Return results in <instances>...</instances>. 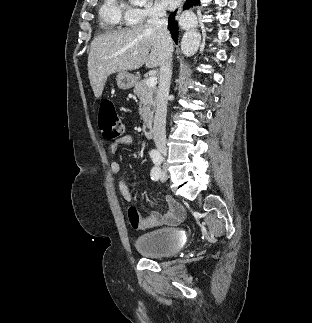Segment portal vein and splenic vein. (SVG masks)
<instances>
[{"label":"portal vein and splenic vein","mask_w":312,"mask_h":323,"mask_svg":"<svg viewBox=\"0 0 312 323\" xmlns=\"http://www.w3.org/2000/svg\"><path fill=\"white\" fill-rule=\"evenodd\" d=\"M135 56V54H134ZM147 86H149V88H155L156 84H157V78H155V76H151V78H149V80H147L146 82Z\"/></svg>","instance_id":"portal-vein-and-splenic-vein-1"}]
</instances>
